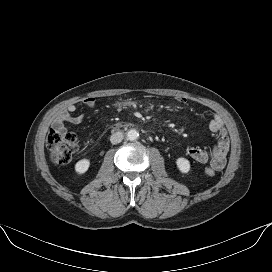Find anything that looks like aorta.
<instances>
[{
  "label": "aorta",
  "mask_w": 272,
  "mask_h": 272,
  "mask_svg": "<svg viewBox=\"0 0 272 272\" xmlns=\"http://www.w3.org/2000/svg\"><path fill=\"white\" fill-rule=\"evenodd\" d=\"M127 137L130 141H134L138 139L139 133L135 129H131L128 131Z\"/></svg>",
  "instance_id": "obj_1"
}]
</instances>
